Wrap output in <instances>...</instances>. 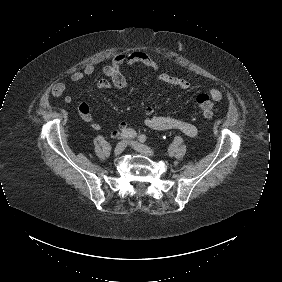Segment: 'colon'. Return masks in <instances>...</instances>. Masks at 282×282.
Wrapping results in <instances>:
<instances>
[{"mask_svg": "<svg viewBox=\"0 0 282 282\" xmlns=\"http://www.w3.org/2000/svg\"><path fill=\"white\" fill-rule=\"evenodd\" d=\"M197 102L206 117H212L218 112L217 105L208 94H199L197 96Z\"/></svg>", "mask_w": 282, "mask_h": 282, "instance_id": "1", "label": "colon"}]
</instances>
